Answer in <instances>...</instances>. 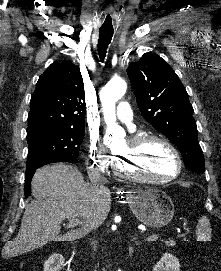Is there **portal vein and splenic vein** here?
<instances>
[{"instance_id":"1","label":"portal vein and splenic vein","mask_w":221,"mask_h":271,"mask_svg":"<svg viewBox=\"0 0 221 271\" xmlns=\"http://www.w3.org/2000/svg\"><path fill=\"white\" fill-rule=\"evenodd\" d=\"M67 223L69 227H75V225H83L84 221L82 219H78V217H74V215H70L67 217ZM146 240L155 241L159 240L161 237L159 235H146Z\"/></svg>"}]
</instances>
